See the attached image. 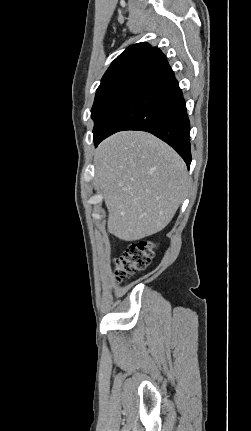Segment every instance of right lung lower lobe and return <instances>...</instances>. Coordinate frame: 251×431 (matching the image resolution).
Returning a JSON list of instances; mask_svg holds the SVG:
<instances>
[{
  "instance_id": "obj_1",
  "label": "right lung lower lobe",
  "mask_w": 251,
  "mask_h": 431,
  "mask_svg": "<svg viewBox=\"0 0 251 431\" xmlns=\"http://www.w3.org/2000/svg\"><path fill=\"white\" fill-rule=\"evenodd\" d=\"M122 130L152 133L169 144L189 168L190 123L185 100L174 72L161 51L149 63L103 133L94 139L95 145Z\"/></svg>"
}]
</instances>
